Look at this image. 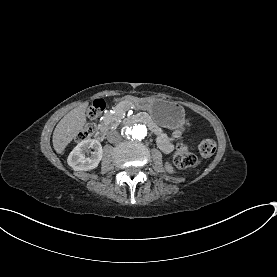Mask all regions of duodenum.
<instances>
[{
    "label": "duodenum",
    "instance_id": "1",
    "mask_svg": "<svg viewBox=\"0 0 277 277\" xmlns=\"http://www.w3.org/2000/svg\"><path fill=\"white\" fill-rule=\"evenodd\" d=\"M137 123L146 125L155 134L158 133L160 130L159 126L155 123V121L145 113L135 114L127 117L124 120V125H132ZM106 134H107V127L105 125H99L95 133L96 139L103 140Z\"/></svg>",
    "mask_w": 277,
    "mask_h": 277
}]
</instances>
